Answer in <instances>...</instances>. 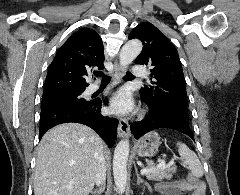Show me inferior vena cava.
<instances>
[{
  "label": "inferior vena cava",
  "instance_id": "1",
  "mask_svg": "<svg viewBox=\"0 0 240 195\" xmlns=\"http://www.w3.org/2000/svg\"><path fill=\"white\" fill-rule=\"evenodd\" d=\"M106 179V163L104 159V155L102 153L100 157L99 163H97L96 175H95V183L96 185H105Z\"/></svg>",
  "mask_w": 240,
  "mask_h": 195
}]
</instances>
